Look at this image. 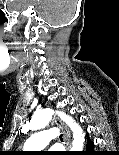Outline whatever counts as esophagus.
Instances as JSON below:
<instances>
[{"instance_id":"esophagus-1","label":"esophagus","mask_w":119,"mask_h":155,"mask_svg":"<svg viewBox=\"0 0 119 155\" xmlns=\"http://www.w3.org/2000/svg\"><path fill=\"white\" fill-rule=\"evenodd\" d=\"M52 121H53L54 124L57 125V127H59L62 130L64 143H65V148H66L67 151H69L70 150V132H69V130L56 117H53Z\"/></svg>"}]
</instances>
